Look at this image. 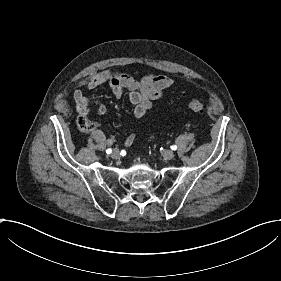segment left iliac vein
I'll return each instance as SVG.
<instances>
[{
    "label": "left iliac vein",
    "instance_id": "obj_1",
    "mask_svg": "<svg viewBox=\"0 0 281 281\" xmlns=\"http://www.w3.org/2000/svg\"><path fill=\"white\" fill-rule=\"evenodd\" d=\"M160 152L166 159H171L174 156V153L171 150H166L165 152L163 150H160Z\"/></svg>",
    "mask_w": 281,
    "mask_h": 281
}]
</instances>
